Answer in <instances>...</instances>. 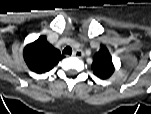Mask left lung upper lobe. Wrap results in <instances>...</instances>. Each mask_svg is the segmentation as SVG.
I'll return each instance as SVG.
<instances>
[{
    "label": "left lung upper lobe",
    "instance_id": "obj_1",
    "mask_svg": "<svg viewBox=\"0 0 151 114\" xmlns=\"http://www.w3.org/2000/svg\"><path fill=\"white\" fill-rule=\"evenodd\" d=\"M94 74L101 79H108L114 73V65L107 48H101L95 55L91 66Z\"/></svg>",
    "mask_w": 151,
    "mask_h": 114
}]
</instances>
